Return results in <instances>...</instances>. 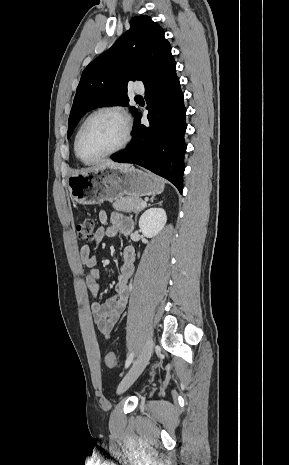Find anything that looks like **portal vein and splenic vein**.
<instances>
[{
  "instance_id": "1",
  "label": "portal vein and splenic vein",
  "mask_w": 289,
  "mask_h": 465,
  "mask_svg": "<svg viewBox=\"0 0 289 465\" xmlns=\"http://www.w3.org/2000/svg\"><path fill=\"white\" fill-rule=\"evenodd\" d=\"M141 205H142V206H146V202H145V201H142Z\"/></svg>"
}]
</instances>
